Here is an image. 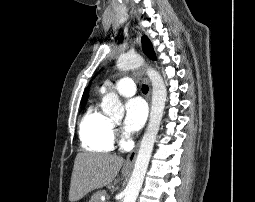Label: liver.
I'll list each match as a JSON object with an SVG mask.
<instances>
[{"label":"liver","instance_id":"obj_1","mask_svg":"<svg viewBox=\"0 0 255 202\" xmlns=\"http://www.w3.org/2000/svg\"><path fill=\"white\" fill-rule=\"evenodd\" d=\"M124 160L108 154H77L71 176L69 201L76 202L94 189L112 182Z\"/></svg>","mask_w":255,"mask_h":202}]
</instances>
